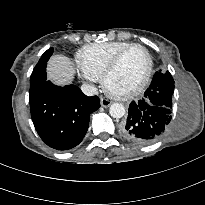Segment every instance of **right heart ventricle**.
<instances>
[{
	"label": "right heart ventricle",
	"instance_id": "obj_1",
	"mask_svg": "<svg viewBox=\"0 0 205 205\" xmlns=\"http://www.w3.org/2000/svg\"><path fill=\"white\" fill-rule=\"evenodd\" d=\"M132 43L105 42L89 44L81 48L77 54V61L81 71L94 77L101 78L105 68L113 57Z\"/></svg>",
	"mask_w": 205,
	"mask_h": 205
}]
</instances>
